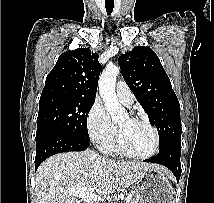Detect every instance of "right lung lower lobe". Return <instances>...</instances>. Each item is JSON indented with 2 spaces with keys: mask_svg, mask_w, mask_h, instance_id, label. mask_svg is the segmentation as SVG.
Returning <instances> with one entry per match:
<instances>
[{
  "mask_svg": "<svg viewBox=\"0 0 214 203\" xmlns=\"http://www.w3.org/2000/svg\"><path fill=\"white\" fill-rule=\"evenodd\" d=\"M90 143L71 137L52 135L36 142L35 169L48 157L62 152L83 151Z\"/></svg>",
  "mask_w": 214,
  "mask_h": 203,
  "instance_id": "98d812e1",
  "label": "right lung lower lobe"
}]
</instances>
